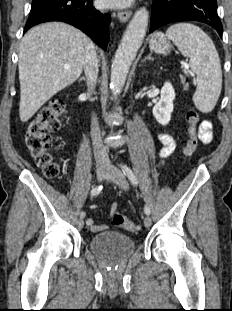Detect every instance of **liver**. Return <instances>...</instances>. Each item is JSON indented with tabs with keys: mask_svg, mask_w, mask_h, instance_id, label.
I'll return each instance as SVG.
<instances>
[{
	"mask_svg": "<svg viewBox=\"0 0 232 311\" xmlns=\"http://www.w3.org/2000/svg\"><path fill=\"white\" fill-rule=\"evenodd\" d=\"M90 43L80 30L61 22L36 26L24 35L18 60L22 122L79 78Z\"/></svg>",
	"mask_w": 232,
	"mask_h": 311,
	"instance_id": "6515ba94",
	"label": "liver"
}]
</instances>
